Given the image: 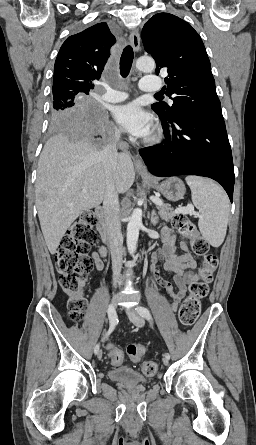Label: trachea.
Here are the masks:
<instances>
[{"instance_id": "1", "label": "trachea", "mask_w": 256, "mask_h": 445, "mask_svg": "<svg viewBox=\"0 0 256 445\" xmlns=\"http://www.w3.org/2000/svg\"><path fill=\"white\" fill-rule=\"evenodd\" d=\"M134 53L131 46H126L120 58V74L127 77L133 63ZM156 97H163L161 94H155Z\"/></svg>"}]
</instances>
